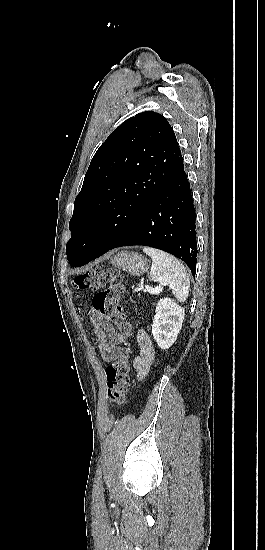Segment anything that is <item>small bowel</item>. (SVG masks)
Wrapping results in <instances>:
<instances>
[{
	"instance_id": "1",
	"label": "small bowel",
	"mask_w": 265,
	"mask_h": 550,
	"mask_svg": "<svg viewBox=\"0 0 265 550\" xmlns=\"http://www.w3.org/2000/svg\"><path fill=\"white\" fill-rule=\"evenodd\" d=\"M90 325L101 359L108 363L119 358L123 353L121 345L125 342L126 336L117 332L98 312L91 313ZM137 342L139 354L135 357L133 365L136 370V378L141 380L147 375L155 360V351L151 338L145 332H139Z\"/></svg>"
}]
</instances>
